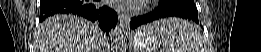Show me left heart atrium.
<instances>
[{"label":"left heart atrium","instance_id":"obj_1","mask_svg":"<svg viewBox=\"0 0 261 52\" xmlns=\"http://www.w3.org/2000/svg\"><path fill=\"white\" fill-rule=\"evenodd\" d=\"M145 2L147 0H116L114 5L117 8L135 9Z\"/></svg>","mask_w":261,"mask_h":52}]
</instances>
